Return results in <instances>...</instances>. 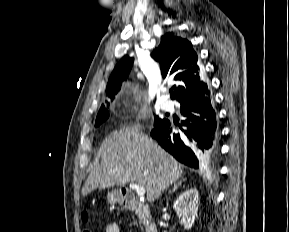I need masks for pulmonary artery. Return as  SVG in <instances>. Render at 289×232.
<instances>
[{"label": "pulmonary artery", "instance_id": "1", "mask_svg": "<svg viewBox=\"0 0 289 232\" xmlns=\"http://www.w3.org/2000/svg\"><path fill=\"white\" fill-rule=\"evenodd\" d=\"M161 107L165 110V111H173L174 110V103L173 101L166 99L162 102Z\"/></svg>", "mask_w": 289, "mask_h": 232}]
</instances>
